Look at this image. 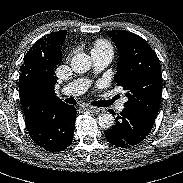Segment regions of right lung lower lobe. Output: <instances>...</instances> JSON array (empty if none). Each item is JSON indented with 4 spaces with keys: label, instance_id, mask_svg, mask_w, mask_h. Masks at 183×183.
Returning a JSON list of instances; mask_svg holds the SVG:
<instances>
[{
    "label": "right lung lower lobe",
    "instance_id": "1",
    "mask_svg": "<svg viewBox=\"0 0 183 183\" xmlns=\"http://www.w3.org/2000/svg\"><path fill=\"white\" fill-rule=\"evenodd\" d=\"M76 114L75 107L64 102H42L25 112L26 128L38 146L59 152L73 140Z\"/></svg>",
    "mask_w": 183,
    "mask_h": 183
}]
</instances>
